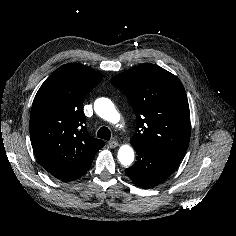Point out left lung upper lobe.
<instances>
[{
  "label": "left lung upper lobe",
  "mask_w": 236,
  "mask_h": 236,
  "mask_svg": "<svg viewBox=\"0 0 236 236\" xmlns=\"http://www.w3.org/2000/svg\"><path fill=\"white\" fill-rule=\"evenodd\" d=\"M136 114L132 145L183 158L190 140V112L178 77L151 63L131 68L112 78Z\"/></svg>",
  "instance_id": "left-lung-upper-lobe-1"
}]
</instances>
